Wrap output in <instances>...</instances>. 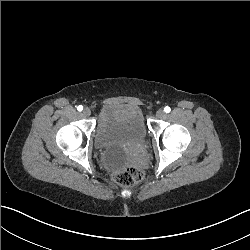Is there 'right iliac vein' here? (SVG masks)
Here are the masks:
<instances>
[{
  "label": "right iliac vein",
  "mask_w": 250,
  "mask_h": 250,
  "mask_svg": "<svg viewBox=\"0 0 250 250\" xmlns=\"http://www.w3.org/2000/svg\"><path fill=\"white\" fill-rule=\"evenodd\" d=\"M83 114L86 116V117H89L91 115V110L87 107L83 110Z\"/></svg>",
  "instance_id": "63e3f726"
}]
</instances>
